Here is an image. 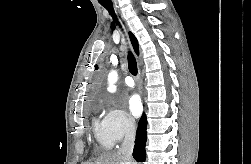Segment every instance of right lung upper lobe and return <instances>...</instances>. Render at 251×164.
<instances>
[{
	"mask_svg": "<svg viewBox=\"0 0 251 164\" xmlns=\"http://www.w3.org/2000/svg\"><path fill=\"white\" fill-rule=\"evenodd\" d=\"M129 37H130L131 43L133 45V48H134L136 54H139V47H138L137 39L135 38V36L131 32H129Z\"/></svg>",
	"mask_w": 251,
	"mask_h": 164,
	"instance_id": "cb5924a9",
	"label": "right lung upper lobe"
}]
</instances>
